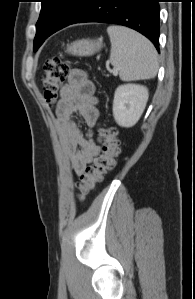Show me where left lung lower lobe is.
I'll list each match as a JSON object with an SVG mask.
<instances>
[{
  "mask_svg": "<svg viewBox=\"0 0 195 299\" xmlns=\"http://www.w3.org/2000/svg\"><path fill=\"white\" fill-rule=\"evenodd\" d=\"M160 0H89L75 23L101 22L132 28L153 42L159 51Z\"/></svg>",
  "mask_w": 195,
  "mask_h": 299,
  "instance_id": "left-lung-lower-lobe-1",
  "label": "left lung lower lobe"
}]
</instances>
